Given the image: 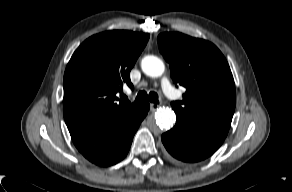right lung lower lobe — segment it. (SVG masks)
<instances>
[{
  "mask_svg": "<svg viewBox=\"0 0 292 192\" xmlns=\"http://www.w3.org/2000/svg\"><path fill=\"white\" fill-rule=\"evenodd\" d=\"M149 110V104L140 105L131 114L110 122L68 127L77 149L92 163L110 166L128 153L134 134Z\"/></svg>",
  "mask_w": 292,
  "mask_h": 192,
  "instance_id": "98d812e1",
  "label": "right lung lower lobe"
}]
</instances>
